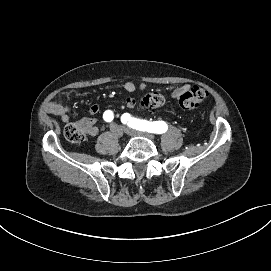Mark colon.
<instances>
[{"mask_svg": "<svg viewBox=\"0 0 271 271\" xmlns=\"http://www.w3.org/2000/svg\"><path fill=\"white\" fill-rule=\"evenodd\" d=\"M208 93L201 87L194 86L180 96V105L187 110L195 109L207 97ZM166 96L158 91L146 93L140 100V106L146 109H155L163 106ZM86 127L83 124L71 123L64 129L65 138L72 143H81L86 137Z\"/></svg>", "mask_w": 271, "mask_h": 271, "instance_id": "1", "label": "colon"}]
</instances>
